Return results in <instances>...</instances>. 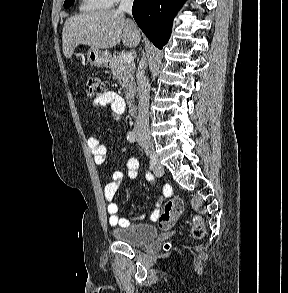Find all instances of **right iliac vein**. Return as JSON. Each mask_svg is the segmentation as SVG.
I'll list each match as a JSON object with an SVG mask.
<instances>
[{"instance_id": "right-iliac-vein-1", "label": "right iliac vein", "mask_w": 288, "mask_h": 293, "mask_svg": "<svg viewBox=\"0 0 288 293\" xmlns=\"http://www.w3.org/2000/svg\"><path fill=\"white\" fill-rule=\"evenodd\" d=\"M141 144L146 150V152L149 154L150 162L153 166V163L155 162L156 159H158V157L154 151L152 142L149 139H142ZM153 170H154V173L159 177L164 174V167L161 163H159L157 167L153 166Z\"/></svg>"}]
</instances>
